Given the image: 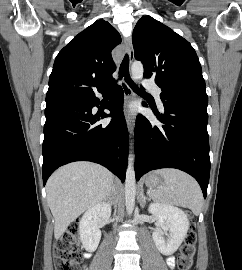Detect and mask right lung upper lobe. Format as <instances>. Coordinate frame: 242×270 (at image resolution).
Returning <instances> with one entry per match:
<instances>
[{
  "label": "right lung upper lobe",
  "mask_w": 242,
  "mask_h": 270,
  "mask_svg": "<svg viewBox=\"0 0 242 270\" xmlns=\"http://www.w3.org/2000/svg\"><path fill=\"white\" fill-rule=\"evenodd\" d=\"M121 37L107 21L98 20L57 55L49 78L46 106L104 92L114 82L111 56Z\"/></svg>",
  "instance_id": "1"
}]
</instances>
